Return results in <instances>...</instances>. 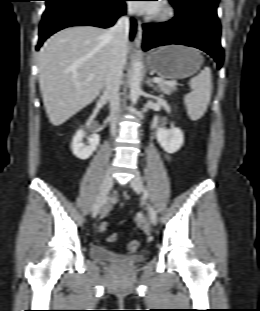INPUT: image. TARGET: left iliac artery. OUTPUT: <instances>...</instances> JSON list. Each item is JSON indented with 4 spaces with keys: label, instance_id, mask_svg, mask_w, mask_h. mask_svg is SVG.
Instances as JSON below:
<instances>
[{
    "label": "left iliac artery",
    "instance_id": "obj_1",
    "mask_svg": "<svg viewBox=\"0 0 260 311\" xmlns=\"http://www.w3.org/2000/svg\"><path fill=\"white\" fill-rule=\"evenodd\" d=\"M144 196H145V198H148V191L147 190H145Z\"/></svg>",
    "mask_w": 260,
    "mask_h": 311
}]
</instances>
